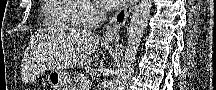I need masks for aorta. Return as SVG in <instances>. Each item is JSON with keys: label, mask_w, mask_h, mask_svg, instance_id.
<instances>
[{"label": "aorta", "mask_w": 216, "mask_h": 90, "mask_svg": "<svg viewBox=\"0 0 216 90\" xmlns=\"http://www.w3.org/2000/svg\"><path fill=\"white\" fill-rule=\"evenodd\" d=\"M151 8V0H140L138 6H135L127 30L126 50L119 70L111 82L110 90H124L131 66H133L134 60H136L139 44L148 26Z\"/></svg>", "instance_id": "aorta-1"}]
</instances>
